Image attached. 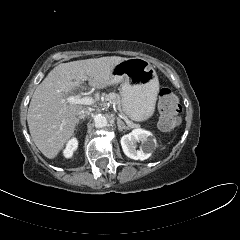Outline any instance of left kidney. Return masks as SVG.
<instances>
[{"label":"left kidney","instance_id":"left-kidney-1","mask_svg":"<svg viewBox=\"0 0 240 240\" xmlns=\"http://www.w3.org/2000/svg\"><path fill=\"white\" fill-rule=\"evenodd\" d=\"M152 133L143 129H134L129 134L121 138V146L125 155L134 160L148 159L156 147V139L152 137ZM137 142L141 145L136 149Z\"/></svg>","mask_w":240,"mask_h":240}]
</instances>
